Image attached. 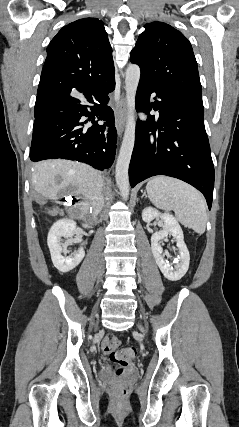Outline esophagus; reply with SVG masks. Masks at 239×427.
Instances as JSON below:
<instances>
[{
  "instance_id": "esophagus-1",
  "label": "esophagus",
  "mask_w": 239,
  "mask_h": 427,
  "mask_svg": "<svg viewBox=\"0 0 239 427\" xmlns=\"http://www.w3.org/2000/svg\"><path fill=\"white\" fill-rule=\"evenodd\" d=\"M126 119V101L122 93L118 106L115 108V125L119 136L122 135Z\"/></svg>"
}]
</instances>
